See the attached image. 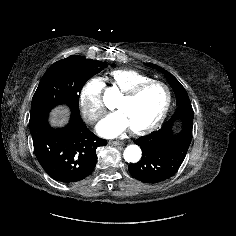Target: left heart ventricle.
Returning a JSON list of instances; mask_svg holds the SVG:
<instances>
[{
    "mask_svg": "<svg viewBox=\"0 0 236 236\" xmlns=\"http://www.w3.org/2000/svg\"><path fill=\"white\" fill-rule=\"evenodd\" d=\"M167 95L161 85H151L132 101L121 98L116 103V108L127 118L130 128H143L153 123L160 115Z\"/></svg>",
    "mask_w": 236,
    "mask_h": 236,
    "instance_id": "1",
    "label": "left heart ventricle"
}]
</instances>
